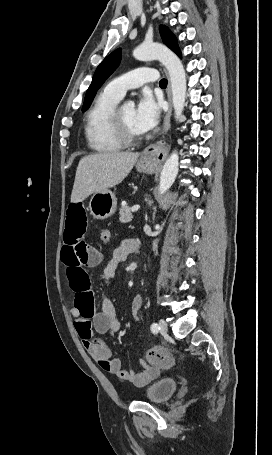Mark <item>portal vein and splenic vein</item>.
<instances>
[{
    "mask_svg": "<svg viewBox=\"0 0 272 455\" xmlns=\"http://www.w3.org/2000/svg\"><path fill=\"white\" fill-rule=\"evenodd\" d=\"M139 208H140L139 205H135V206H133V207L131 208V211H132V212H136V211L139 210Z\"/></svg>",
    "mask_w": 272,
    "mask_h": 455,
    "instance_id": "obj_1",
    "label": "portal vein and splenic vein"
}]
</instances>
